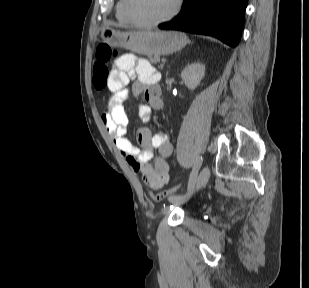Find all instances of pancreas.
<instances>
[{
	"instance_id": "pancreas-1",
	"label": "pancreas",
	"mask_w": 309,
	"mask_h": 288,
	"mask_svg": "<svg viewBox=\"0 0 309 288\" xmlns=\"http://www.w3.org/2000/svg\"><path fill=\"white\" fill-rule=\"evenodd\" d=\"M149 60L152 64H157L158 62H160V58L159 57H149Z\"/></svg>"
}]
</instances>
